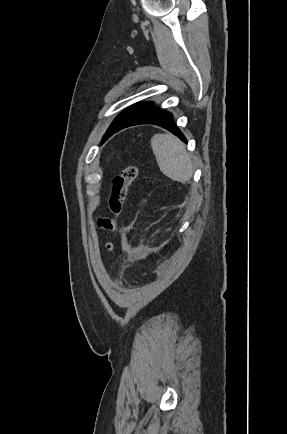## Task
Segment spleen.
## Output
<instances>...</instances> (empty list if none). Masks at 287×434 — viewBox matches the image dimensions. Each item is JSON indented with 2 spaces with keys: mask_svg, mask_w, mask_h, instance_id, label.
Listing matches in <instances>:
<instances>
[{
  "mask_svg": "<svg viewBox=\"0 0 287 434\" xmlns=\"http://www.w3.org/2000/svg\"><path fill=\"white\" fill-rule=\"evenodd\" d=\"M151 147L161 172L168 178L185 183L193 176V163L185 145L171 134H155Z\"/></svg>",
  "mask_w": 287,
  "mask_h": 434,
  "instance_id": "1",
  "label": "spleen"
}]
</instances>
